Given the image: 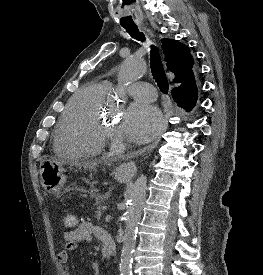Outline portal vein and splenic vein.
Wrapping results in <instances>:
<instances>
[{
    "mask_svg": "<svg viewBox=\"0 0 263 275\" xmlns=\"http://www.w3.org/2000/svg\"><path fill=\"white\" fill-rule=\"evenodd\" d=\"M105 219H106V221H109L111 219V216L107 215Z\"/></svg>",
    "mask_w": 263,
    "mask_h": 275,
    "instance_id": "portal-vein-and-splenic-vein-1",
    "label": "portal vein and splenic vein"
}]
</instances>
